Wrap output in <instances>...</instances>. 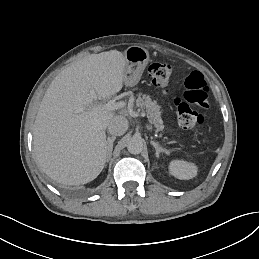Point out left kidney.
I'll list each match as a JSON object with an SVG mask.
<instances>
[{"label":"left kidney","mask_w":259,"mask_h":259,"mask_svg":"<svg viewBox=\"0 0 259 259\" xmlns=\"http://www.w3.org/2000/svg\"><path fill=\"white\" fill-rule=\"evenodd\" d=\"M197 166L181 160H173L169 164V173L181 180H189L197 175Z\"/></svg>","instance_id":"left-kidney-1"}]
</instances>
